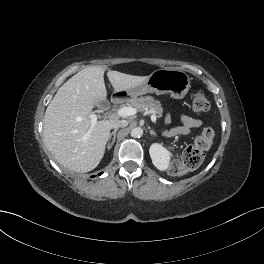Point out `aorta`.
<instances>
[{
  "mask_svg": "<svg viewBox=\"0 0 264 264\" xmlns=\"http://www.w3.org/2000/svg\"><path fill=\"white\" fill-rule=\"evenodd\" d=\"M130 134L134 138H140L143 135V129L141 127L133 128Z\"/></svg>",
  "mask_w": 264,
  "mask_h": 264,
  "instance_id": "1",
  "label": "aorta"
}]
</instances>
